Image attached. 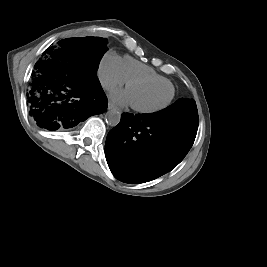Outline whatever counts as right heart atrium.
<instances>
[{"instance_id": "1", "label": "right heart atrium", "mask_w": 267, "mask_h": 267, "mask_svg": "<svg viewBox=\"0 0 267 267\" xmlns=\"http://www.w3.org/2000/svg\"><path fill=\"white\" fill-rule=\"evenodd\" d=\"M97 74L104 89L121 86L126 81L121 66V59L113 52H107L103 55Z\"/></svg>"}]
</instances>
